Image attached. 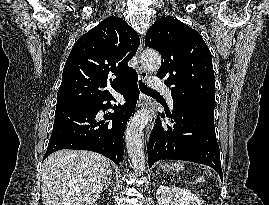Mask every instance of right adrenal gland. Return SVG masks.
I'll return each instance as SVG.
<instances>
[{"mask_svg":"<svg viewBox=\"0 0 269 205\" xmlns=\"http://www.w3.org/2000/svg\"><path fill=\"white\" fill-rule=\"evenodd\" d=\"M109 186H112V172H109V177L107 179V182L104 185L103 190H105L106 188H108Z\"/></svg>","mask_w":269,"mask_h":205,"instance_id":"2a0ac1e0","label":"right adrenal gland"}]
</instances>
